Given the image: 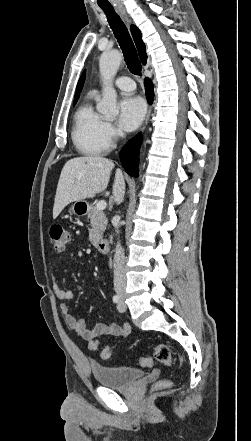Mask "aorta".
I'll return each instance as SVG.
<instances>
[{
  "label": "aorta",
  "instance_id": "obj_1",
  "mask_svg": "<svg viewBox=\"0 0 251 441\" xmlns=\"http://www.w3.org/2000/svg\"><path fill=\"white\" fill-rule=\"evenodd\" d=\"M122 55L113 50L101 55L99 61L100 74L104 84L102 100L97 105V110L107 117H116L119 113L117 106V93L112 85V80L121 64Z\"/></svg>",
  "mask_w": 251,
  "mask_h": 441
}]
</instances>
